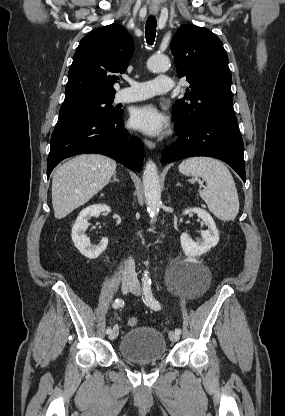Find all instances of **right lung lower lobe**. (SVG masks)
Wrapping results in <instances>:
<instances>
[{
  "mask_svg": "<svg viewBox=\"0 0 285 416\" xmlns=\"http://www.w3.org/2000/svg\"><path fill=\"white\" fill-rule=\"evenodd\" d=\"M84 153L103 154L134 171L142 169L141 141L124 129L121 116L58 120L51 136L47 177L63 159Z\"/></svg>",
  "mask_w": 285,
  "mask_h": 416,
  "instance_id": "right-lung-lower-lobe-1",
  "label": "right lung lower lobe"
}]
</instances>
